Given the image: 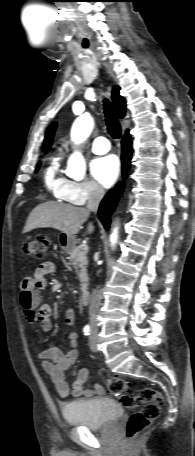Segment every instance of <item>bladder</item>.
Here are the masks:
<instances>
[{
	"label": "bladder",
	"mask_w": 195,
	"mask_h": 456,
	"mask_svg": "<svg viewBox=\"0 0 195 456\" xmlns=\"http://www.w3.org/2000/svg\"><path fill=\"white\" fill-rule=\"evenodd\" d=\"M123 414L119 403L110 398H93L68 403L62 416L69 425L102 430L115 424Z\"/></svg>",
	"instance_id": "obj_1"
}]
</instances>
